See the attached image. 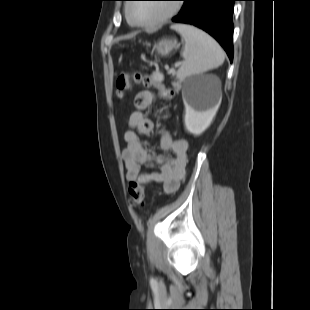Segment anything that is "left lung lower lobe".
I'll return each mask as SVG.
<instances>
[{"instance_id": "obj_1", "label": "left lung lower lobe", "mask_w": 310, "mask_h": 310, "mask_svg": "<svg viewBox=\"0 0 310 310\" xmlns=\"http://www.w3.org/2000/svg\"><path fill=\"white\" fill-rule=\"evenodd\" d=\"M172 21L196 26L214 37L233 60V6L238 0H183Z\"/></svg>"}]
</instances>
